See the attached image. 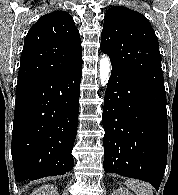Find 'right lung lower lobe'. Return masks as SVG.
<instances>
[{"mask_svg": "<svg viewBox=\"0 0 178 195\" xmlns=\"http://www.w3.org/2000/svg\"><path fill=\"white\" fill-rule=\"evenodd\" d=\"M81 77L82 65L17 82L11 143L17 182L72 170Z\"/></svg>", "mask_w": 178, "mask_h": 195, "instance_id": "right-lung-lower-lobe-1", "label": "right lung lower lobe"}]
</instances>
